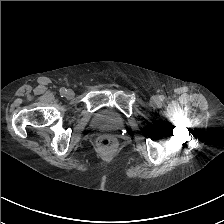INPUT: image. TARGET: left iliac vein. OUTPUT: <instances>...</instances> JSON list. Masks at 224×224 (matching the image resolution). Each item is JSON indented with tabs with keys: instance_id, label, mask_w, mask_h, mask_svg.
<instances>
[{
	"instance_id": "1",
	"label": "left iliac vein",
	"mask_w": 224,
	"mask_h": 224,
	"mask_svg": "<svg viewBox=\"0 0 224 224\" xmlns=\"http://www.w3.org/2000/svg\"><path fill=\"white\" fill-rule=\"evenodd\" d=\"M158 102H159V97H157V96H153V97L151 98V103H152V104H158Z\"/></svg>"
}]
</instances>
